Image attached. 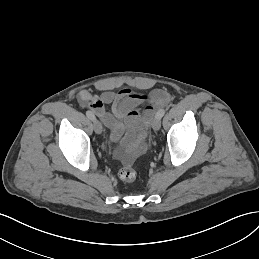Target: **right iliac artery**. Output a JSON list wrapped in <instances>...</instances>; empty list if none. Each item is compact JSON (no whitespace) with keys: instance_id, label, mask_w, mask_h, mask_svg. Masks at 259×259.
<instances>
[{"instance_id":"1","label":"right iliac artery","mask_w":259,"mask_h":259,"mask_svg":"<svg viewBox=\"0 0 259 259\" xmlns=\"http://www.w3.org/2000/svg\"><path fill=\"white\" fill-rule=\"evenodd\" d=\"M86 115H87V117L90 119V120H95L96 118H95V115L91 112V111H86Z\"/></svg>"}]
</instances>
